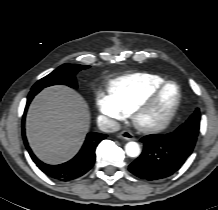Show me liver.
I'll use <instances>...</instances> for the list:
<instances>
[{
	"instance_id": "liver-1",
	"label": "liver",
	"mask_w": 218,
	"mask_h": 210,
	"mask_svg": "<svg viewBox=\"0 0 218 210\" xmlns=\"http://www.w3.org/2000/svg\"><path fill=\"white\" fill-rule=\"evenodd\" d=\"M90 126L85 100L71 88L59 85L41 91L26 117L28 142L42 161L58 164L72 158L82 146Z\"/></svg>"
}]
</instances>
